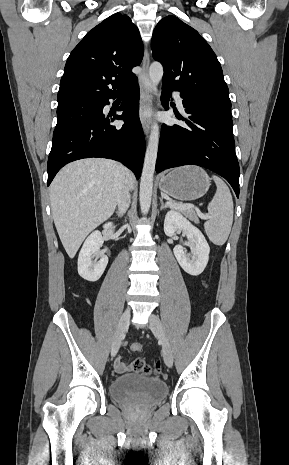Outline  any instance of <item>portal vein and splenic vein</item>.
I'll return each instance as SVG.
<instances>
[{"label":"portal vein and splenic vein","instance_id":"obj_1","mask_svg":"<svg viewBox=\"0 0 289 465\" xmlns=\"http://www.w3.org/2000/svg\"><path fill=\"white\" fill-rule=\"evenodd\" d=\"M166 204L176 209H195L198 213L200 212L199 209L192 204H176L173 202H167Z\"/></svg>","mask_w":289,"mask_h":465}]
</instances>
